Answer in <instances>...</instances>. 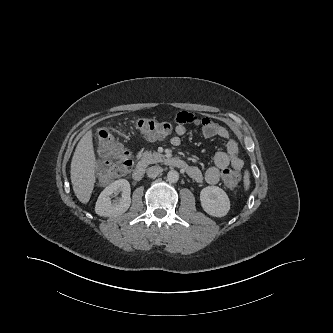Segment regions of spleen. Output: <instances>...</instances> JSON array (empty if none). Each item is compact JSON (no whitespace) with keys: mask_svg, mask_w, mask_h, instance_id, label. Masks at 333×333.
<instances>
[{"mask_svg":"<svg viewBox=\"0 0 333 333\" xmlns=\"http://www.w3.org/2000/svg\"><path fill=\"white\" fill-rule=\"evenodd\" d=\"M249 184H250L249 176H248V174H246L245 180H244V185H245L246 190L249 188Z\"/></svg>","mask_w":333,"mask_h":333,"instance_id":"obj_1","label":"spleen"}]
</instances>
